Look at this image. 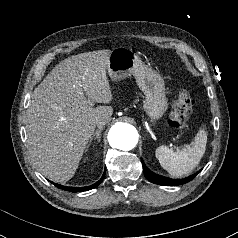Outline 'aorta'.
I'll return each mask as SVG.
<instances>
[{
	"label": "aorta",
	"instance_id": "obj_1",
	"mask_svg": "<svg viewBox=\"0 0 238 238\" xmlns=\"http://www.w3.org/2000/svg\"><path fill=\"white\" fill-rule=\"evenodd\" d=\"M108 141L113 148L131 150L138 142V133L130 124L116 123L109 131Z\"/></svg>",
	"mask_w": 238,
	"mask_h": 238
}]
</instances>
